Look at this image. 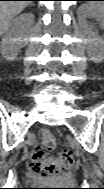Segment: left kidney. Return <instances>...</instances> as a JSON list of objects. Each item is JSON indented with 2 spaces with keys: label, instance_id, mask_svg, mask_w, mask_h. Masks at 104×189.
<instances>
[{
  "label": "left kidney",
  "instance_id": "left-kidney-1",
  "mask_svg": "<svg viewBox=\"0 0 104 189\" xmlns=\"http://www.w3.org/2000/svg\"><path fill=\"white\" fill-rule=\"evenodd\" d=\"M92 16L100 22L104 20L103 8L95 9L88 5H83L80 8V22L84 26L86 24V17ZM99 49H95L89 52L90 59L94 62H101L104 57L103 53V40L98 39Z\"/></svg>",
  "mask_w": 104,
  "mask_h": 189
}]
</instances>
